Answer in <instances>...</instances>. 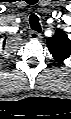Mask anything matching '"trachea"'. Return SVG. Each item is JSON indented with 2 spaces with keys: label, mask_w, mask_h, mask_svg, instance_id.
<instances>
[{
  "label": "trachea",
  "mask_w": 71,
  "mask_h": 119,
  "mask_svg": "<svg viewBox=\"0 0 71 119\" xmlns=\"http://www.w3.org/2000/svg\"><path fill=\"white\" fill-rule=\"evenodd\" d=\"M29 23L31 25V29L36 31V32H40L41 31V25L39 22V18L36 14H32L29 17Z\"/></svg>",
  "instance_id": "3493384b"
}]
</instances>
